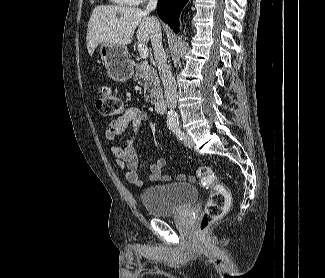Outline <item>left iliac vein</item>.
Returning <instances> with one entry per match:
<instances>
[{
    "instance_id": "1",
    "label": "left iliac vein",
    "mask_w": 325,
    "mask_h": 278,
    "mask_svg": "<svg viewBox=\"0 0 325 278\" xmlns=\"http://www.w3.org/2000/svg\"><path fill=\"white\" fill-rule=\"evenodd\" d=\"M184 145L188 148L193 147V140L190 136H187L184 140Z\"/></svg>"
}]
</instances>
